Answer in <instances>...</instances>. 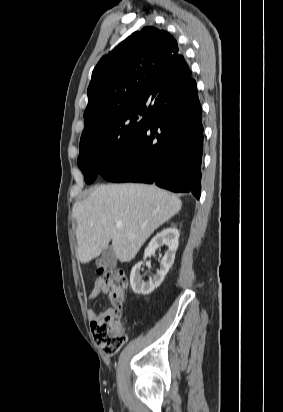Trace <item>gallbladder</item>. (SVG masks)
<instances>
[{
    "label": "gallbladder",
    "mask_w": 283,
    "mask_h": 412,
    "mask_svg": "<svg viewBox=\"0 0 283 412\" xmlns=\"http://www.w3.org/2000/svg\"><path fill=\"white\" fill-rule=\"evenodd\" d=\"M102 262L103 266L107 268H114L116 264V256L113 251L112 246H108L107 249L104 250L102 254Z\"/></svg>",
    "instance_id": "1"
}]
</instances>
